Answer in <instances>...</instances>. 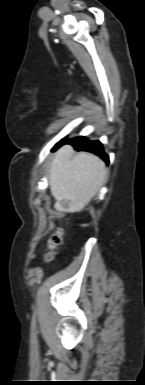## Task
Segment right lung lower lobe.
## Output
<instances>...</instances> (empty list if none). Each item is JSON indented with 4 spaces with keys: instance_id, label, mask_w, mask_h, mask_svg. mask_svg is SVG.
Here are the masks:
<instances>
[{
    "instance_id": "obj_1",
    "label": "right lung lower lobe",
    "mask_w": 145,
    "mask_h": 385,
    "mask_svg": "<svg viewBox=\"0 0 145 385\" xmlns=\"http://www.w3.org/2000/svg\"><path fill=\"white\" fill-rule=\"evenodd\" d=\"M65 143H69L74 146L77 151H88L100 156L106 163H109L108 155L104 152L102 144L99 141H89L85 137H76L71 140L63 139L57 143L56 147H59Z\"/></svg>"
}]
</instances>
